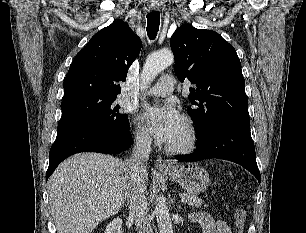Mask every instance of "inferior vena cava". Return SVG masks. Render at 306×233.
Segmentation results:
<instances>
[{
  "mask_svg": "<svg viewBox=\"0 0 306 233\" xmlns=\"http://www.w3.org/2000/svg\"><path fill=\"white\" fill-rule=\"evenodd\" d=\"M151 151V138L149 136H138L132 156L128 165L130 181L127 191V204L130 216L135 220L138 233H153L149 219L147 218L146 190V164Z\"/></svg>",
  "mask_w": 306,
  "mask_h": 233,
  "instance_id": "1",
  "label": "inferior vena cava"
}]
</instances>
